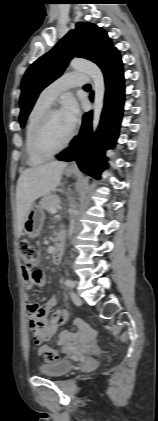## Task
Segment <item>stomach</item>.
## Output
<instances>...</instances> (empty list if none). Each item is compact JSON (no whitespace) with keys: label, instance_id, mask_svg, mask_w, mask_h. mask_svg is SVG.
Instances as JSON below:
<instances>
[{"label":"stomach","instance_id":"1","mask_svg":"<svg viewBox=\"0 0 158 421\" xmlns=\"http://www.w3.org/2000/svg\"><path fill=\"white\" fill-rule=\"evenodd\" d=\"M75 171L73 169H66L65 174L71 176ZM45 219V214L40 206L32 205L24 219L23 229L29 238H35L39 235Z\"/></svg>","mask_w":158,"mask_h":421}]
</instances>
